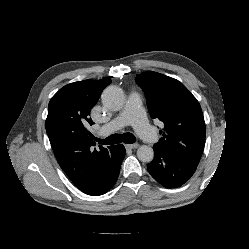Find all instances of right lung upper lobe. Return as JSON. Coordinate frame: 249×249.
Returning a JSON list of instances; mask_svg holds the SVG:
<instances>
[{"label":"right lung upper lobe","instance_id":"right-lung-upper-lobe-1","mask_svg":"<svg viewBox=\"0 0 249 249\" xmlns=\"http://www.w3.org/2000/svg\"><path fill=\"white\" fill-rule=\"evenodd\" d=\"M110 83L105 78L68 84L52 97L48 106L45 126L54 154L60 167L83 192L113 163L112 146L94 148L95 142L85 128L94 124L90 111Z\"/></svg>","mask_w":249,"mask_h":249}]
</instances>
